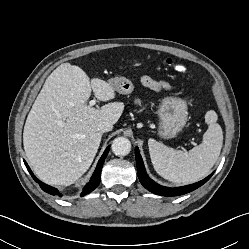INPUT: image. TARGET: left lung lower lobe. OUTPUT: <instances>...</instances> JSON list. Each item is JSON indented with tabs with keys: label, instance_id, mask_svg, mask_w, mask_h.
<instances>
[{
	"label": "left lung lower lobe",
	"instance_id": "obj_1",
	"mask_svg": "<svg viewBox=\"0 0 249 249\" xmlns=\"http://www.w3.org/2000/svg\"><path fill=\"white\" fill-rule=\"evenodd\" d=\"M135 157L137 163L138 178L141 184L150 192L161 196H178L191 192L200 187L201 185H203L205 182H207L210 179V177L213 175L212 173L202 181H199L191 185L177 187V188H168L155 183L152 179L148 177L138 147L135 148Z\"/></svg>",
	"mask_w": 249,
	"mask_h": 249
}]
</instances>
